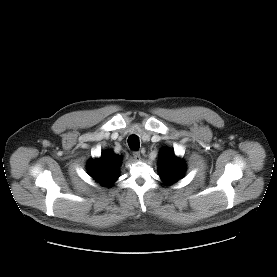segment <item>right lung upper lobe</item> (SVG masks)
I'll return each mask as SVG.
<instances>
[{
    "mask_svg": "<svg viewBox=\"0 0 277 277\" xmlns=\"http://www.w3.org/2000/svg\"><path fill=\"white\" fill-rule=\"evenodd\" d=\"M121 158L113 152H104L99 159L87 164L89 175L102 186H112L119 177Z\"/></svg>",
    "mask_w": 277,
    "mask_h": 277,
    "instance_id": "cb5924a9",
    "label": "right lung upper lobe"
}]
</instances>
